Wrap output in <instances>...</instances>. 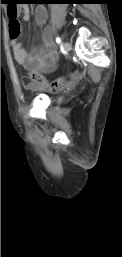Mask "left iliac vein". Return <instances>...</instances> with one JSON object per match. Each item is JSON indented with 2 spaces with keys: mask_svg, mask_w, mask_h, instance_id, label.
<instances>
[{
  "mask_svg": "<svg viewBox=\"0 0 122 257\" xmlns=\"http://www.w3.org/2000/svg\"><path fill=\"white\" fill-rule=\"evenodd\" d=\"M70 49H71L70 43L69 42H65L64 43V51L68 52V51H70Z\"/></svg>",
  "mask_w": 122,
  "mask_h": 257,
  "instance_id": "left-iliac-vein-1",
  "label": "left iliac vein"
}]
</instances>
